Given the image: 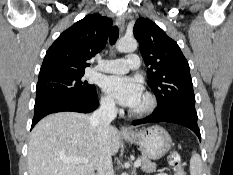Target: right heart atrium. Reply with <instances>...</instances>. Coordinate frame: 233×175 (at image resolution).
I'll return each instance as SVG.
<instances>
[{"label": "right heart atrium", "mask_w": 233, "mask_h": 175, "mask_svg": "<svg viewBox=\"0 0 233 175\" xmlns=\"http://www.w3.org/2000/svg\"><path fill=\"white\" fill-rule=\"evenodd\" d=\"M100 104H101V107L106 111L113 112L116 110L115 101L109 95H106V94L102 95L100 98Z\"/></svg>", "instance_id": "d8ad5b80"}]
</instances>
